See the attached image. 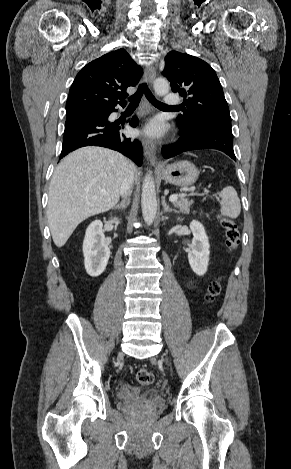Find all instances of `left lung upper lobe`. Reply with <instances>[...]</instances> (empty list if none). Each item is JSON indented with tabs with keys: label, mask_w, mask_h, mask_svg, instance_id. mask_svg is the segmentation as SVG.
<instances>
[{
	"label": "left lung upper lobe",
	"mask_w": 291,
	"mask_h": 469,
	"mask_svg": "<svg viewBox=\"0 0 291 469\" xmlns=\"http://www.w3.org/2000/svg\"><path fill=\"white\" fill-rule=\"evenodd\" d=\"M162 74L171 82L173 92L184 97V113L176 118L180 129L200 124L231 128L229 108L219 79L205 61L177 51L165 57Z\"/></svg>",
	"instance_id": "1"
}]
</instances>
